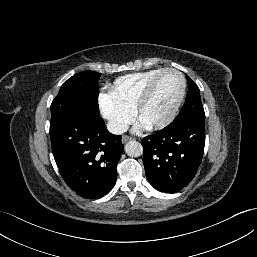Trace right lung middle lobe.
Returning a JSON list of instances; mask_svg holds the SVG:
<instances>
[{"mask_svg": "<svg viewBox=\"0 0 257 257\" xmlns=\"http://www.w3.org/2000/svg\"><path fill=\"white\" fill-rule=\"evenodd\" d=\"M101 74L84 71L70 77L51 104L50 127L73 115L99 117L98 80Z\"/></svg>", "mask_w": 257, "mask_h": 257, "instance_id": "right-lung-middle-lobe-1", "label": "right lung middle lobe"}]
</instances>
